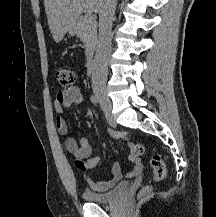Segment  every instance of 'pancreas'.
Here are the masks:
<instances>
[{"label":"pancreas","instance_id":"pancreas-1","mask_svg":"<svg viewBox=\"0 0 216 217\" xmlns=\"http://www.w3.org/2000/svg\"><path fill=\"white\" fill-rule=\"evenodd\" d=\"M76 34L84 43L86 56L90 57L93 54L97 41L96 21H88L85 17L79 18Z\"/></svg>","mask_w":216,"mask_h":217}]
</instances>
